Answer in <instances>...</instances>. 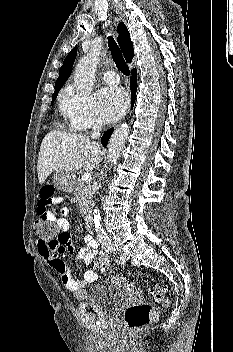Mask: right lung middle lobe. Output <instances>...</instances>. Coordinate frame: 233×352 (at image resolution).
<instances>
[{"mask_svg":"<svg viewBox=\"0 0 233 352\" xmlns=\"http://www.w3.org/2000/svg\"><path fill=\"white\" fill-rule=\"evenodd\" d=\"M59 90L55 91L52 95V103L54 102V100L56 99L57 97V94H58Z\"/></svg>","mask_w":233,"mask_h":352,"instance_id":"right-lung-middle-lobe-1","label":"right lung middle lobe"}]
</instances>
